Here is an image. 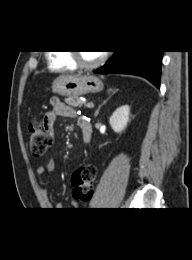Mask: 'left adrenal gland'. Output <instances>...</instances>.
<instances>
[{"label":"left adrenal gland","mask_w":192,"mask_h":260,"mask_svg":"<svg viewBox=\"0 0 192 260\" xmlns=\"http://www.w3.org/2000/svg\"><path fill=\"white\" fill-rule=\"evenodd\" d=\"M117 91H118L117 89H115L114 91H112V89H110L109 92H112V94L108 97V99H110V97H111L112 95H114ZM108 99L105 100V101L98 107V109H97L96 112H95V117L98 116L99 111H100V108L102 107V105H104V104L108 101Z\"/></svg>","instance_id":"1"}]
</instances>
